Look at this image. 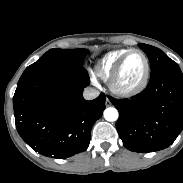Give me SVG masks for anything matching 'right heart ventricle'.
Segmentation results:
<instances>
[{"label":"right heart ventricle","instance_id":"1","mask_svg":"<svg viewBox=\"0 0 183 183\" xmlns=\"http://www.w3.org/2000/svg\"><path fill=\"white\" fill-rule=\"evenodd\" d=\"M128 51V49H119L105 54L96 65V73L103 79H108L117 62Z\"/></svg>","mask_w":183,"mask_h":183}]
</instances>
